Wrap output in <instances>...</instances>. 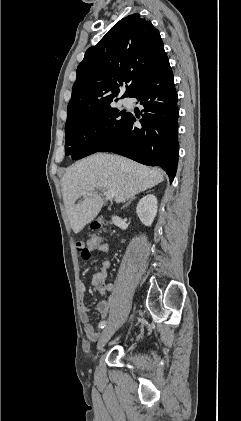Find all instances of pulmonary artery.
I'll return each instance as SVG.
<instances>
[{
	"label": "pulmonary artery",
	"instance_id": "1",
	"mask_svg": "<svg viewBox=\"0 0 241 421\" xmlns=\"http://www.w3.org/2000/svg\"><path fill=\"white\" fill-rule=\"evenodd\" d=\"M124 103H128V100H127V99H125V100H124Z\"/></svg>",
	"mask_w": 241,
	"mask_h": 421
}]
</instances>
